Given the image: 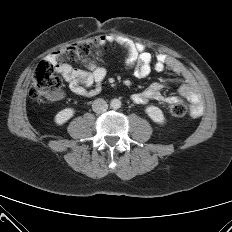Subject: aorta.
<instances>
[{
  "label": "aorta",
  "instance_id": "aorta-1",
  "mask_svg": "<svg viewBox=\"0 0 232 232\" xmlns=\"http://www.w3.org/2000/svg\"><path fill=\"white\" fill-rule=\"evenodd\" d=\"M110 107L112 109H119L121 107V101L119 99H112L110 102Z\"/></svg>",
  "mask_w": 232,
  "mask_h": 232
}]
</instances>
